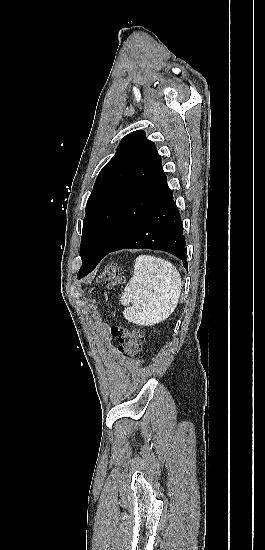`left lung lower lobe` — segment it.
I'll list each match as a JSON object with an SVG mask.
<instances>
[{
	"label": "left lung lower lobe",
	"mask_w": 265,
	"mask_h": 550,
	"mask_svg": "<svg viewBox=\"0 0 265 550\" xmlns=\"http://www.w3.org/2000/svg\"><path fill=\"white\" fill-rule=\"evenodd\" d=\"M185 245L180 213L173 200V193L169 189L110 249L105 252L91 250L82 260L77 278L80 279L89 274L108 253L113 251L147 248L166 251L185 260ZM183 265L188 269L187 262Z\"/></svg>",
	"instance_id": "0a47b994"
}]
</instances>
